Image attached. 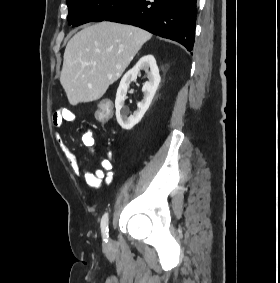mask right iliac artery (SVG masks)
I'll return each instance as SVG.
<instances>
[{"mask_svg":"<svg viewBox=\"0 0 280 283\" xmlns=\"http://www.w3.org/2000/svg\"><path fill=\"white\" fill-rule=\"evenodd\" d=\"M108 213H105L101 219V232L104 238V241H108Z\"/></svg>","mask_w":280,"mask_h":283,"instance_id":"1","label":"right iliac artery"}]
</instances>
